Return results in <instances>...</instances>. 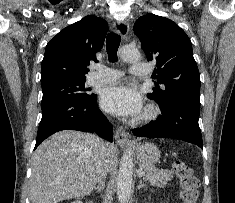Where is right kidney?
Returning a JSON list of instances; mask_svg holds the SVG:
<instances>
[{
  "instance_id": "right-kidney-1",
  "label": "right kidney",
  "mask_w": 235,
  "mask_h": 203,
  "mask_svg": "<svg viewBox=\"0 0 235 203\" xmlns=\"http://www.w3.org/2000/svg\"><path fill=\"white\" fill-rule=\"evenodd\" d=\"M72 203H82L81 201H74ZM89 203H92V202H89Z\"/></svg>"
}]
</instances>
